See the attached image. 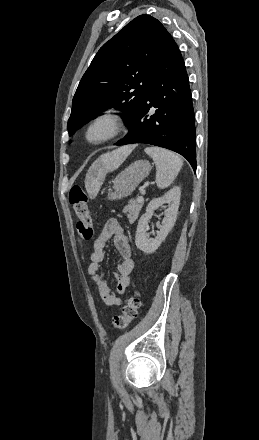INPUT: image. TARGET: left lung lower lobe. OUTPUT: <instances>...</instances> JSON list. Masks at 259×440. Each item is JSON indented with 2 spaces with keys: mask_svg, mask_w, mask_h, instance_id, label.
I'll use <instances>...</instances> for the list:
<instances>
[{
  "mask_svg": "<svg viewBox=\"0 0 259 440\" xmlns=\"http://www.w3.org/2000/svg\"><path fill=\"white\" fill-rule=\"evenodd\" d=\"M151 108L155 113L150 115ZM147 143L175 151L196 170L195 121L189 79L179 48L166 39L141 109L116 145Z\"/></svg>",
  "mask_w": 259,
  "mask_h": 440,
  "instance_id": "1",
  "label": "left lung lower lobe"
}]
</instances>
